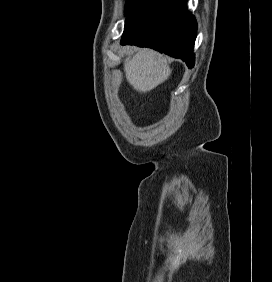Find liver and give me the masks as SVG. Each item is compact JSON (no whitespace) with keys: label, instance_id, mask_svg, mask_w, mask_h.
<instances>
[{"label":"liver","instance_id":"6515ba94","mask_svg":"<svg viewBox=\"0 0 272 282\" xmlns=\"http://www.w3.org/2000/svg\"><path fill=\"white\" fill-rule=\"evenodd\" d=\"M124 71L129 84L140 93L153 90L171 74L167 58L147 48L129 55L124 60Z\"/></svg>","mask_w":272,"mask_h":282}]
</instances>
